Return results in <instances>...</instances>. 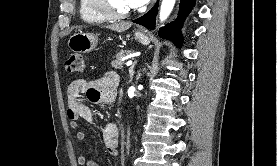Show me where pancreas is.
Segmentation results:
<instances>
[{
  "label": "pancreas",
  "mask_w": 277,
  "mask_h": 166,
  "mask_svg": "<svg viewBox=\"0 0 277 166\" xmlns=\"http://www.w3.org/2000/svg\"><path fill=\"white\" fill-rule=\"evenodd\" d=\"M131 51L130 50H121L120 52H118L116 54V56L114 57V59L111 62L112 68L114 69H122L123 68V64L124 62L121 61V58L130 54Z\"/></svg>",
  "instance_id": "cf45deb5"
}]
</instances>
